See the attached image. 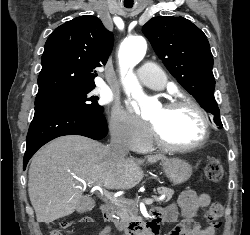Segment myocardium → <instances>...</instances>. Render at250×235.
I'll list each match as a JSON object with an SVG mask.
<instances>
[{
    "mask_svg": "<svg viewBox=\"0 0 250 235\" xmlns=\"http://www.w3.org/2000/svg\"><path fill=\"white\" fill-rule=\"evenodd\" d=\"M188 106L194 109L200 116L202 122V132L200 137L191 144L175 145L166 141L157 127L151 125L150 132L154 143L161 149L169 152H188L202 146L209 137L210 121L206 110L194 99L188 97H179L165 103L164 108L167 110Z\"/></svg>",
    "mask_w": 250,
    "mask_h": 235,
    "instance_id": "obj_1",
    "label": "myocardium"
}]
</instances>
